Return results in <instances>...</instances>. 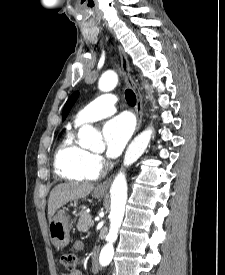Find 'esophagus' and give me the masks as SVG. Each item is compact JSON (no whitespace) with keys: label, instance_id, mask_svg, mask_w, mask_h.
<instances>
[{"label":"esophagus","instance_id":"34e87169","mask_svg":"<svg viewBox=\"0 0 225 275\" xmlns=\"http://www.w3.org/2000/svg\"><path fill=\"white\" fill-rule=\"evenodd\" d=\"M118 52H119V56H120V60H121V67H122V72L125 78V81L127 83V85L132 88V90L134 91L135 95H136V117H137V127H136V131H138L141 127L142 124V120H143V100H142V95L137 87V85L134 83L132 76H131V69H130V64H129V60L127 57V54L125 53V51L123 50V48L121 46H118ZM112 178H109L107 180H105L104 182H102L101 184H99L97 186L98 189H108L110 184H111Z\"/></svg>","mask_w":225,"mask_h":275}]
</instances>
